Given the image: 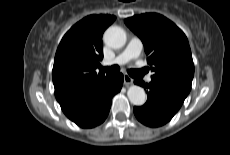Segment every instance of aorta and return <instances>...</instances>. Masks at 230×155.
I'll return each mask as SVG.
<instances>
[{
  "label": "aorta",
  "instance_id": "aorta-1",
  "mask_svg": "<svg viewBox=\"0 0 230 155\" xmlns=\"http://www.w3.org/2000/svg\"><path fill=\"white\" fill-rule=\"evenodd\" d=\"M104 42L111 48L118 49L126 43V33L118 26L109 27L104 33ZM128 98L133 105L141 106L146 102L144 89L137 85H132L127 91Z\"/></svg>",
  "mask_w": 230,
  "mask_h": 155
}]
</instances>
